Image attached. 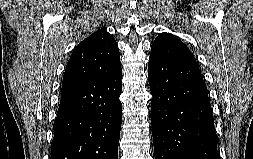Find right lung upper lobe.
<instances>
[{
  "mask_svg": "<svg viewBox=\"0 0 253 159\" xmlns=\"http://www.w3.org/2000/svg\"><path fill=\"white\" fill-rule=\"evenodd\" d=\"M120 67V53L115 39L105 28L98 29L75 47L63 76L61 97Z\"/></svg>",
  "mask_w": 253,
  "mask_h": 159,
  "instance_id": "obj_1",
  "label": "right lung upper lobe"
}]
</instances>
